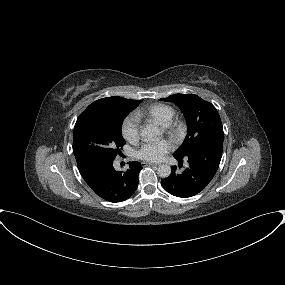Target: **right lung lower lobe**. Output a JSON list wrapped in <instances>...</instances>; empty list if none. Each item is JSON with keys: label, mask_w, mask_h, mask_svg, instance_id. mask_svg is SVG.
<instances>
[{"label": "right lung lower lobe", "mask_w": 285, "mask_h": 285, "mask_svg": "<svg viewBox=\"0 0 285 285\" xmlns=\"http://www.w3.org/2000/svg\"><path fill=\"white\" fill-rule=\"evenodd\" d=\"M79 172L88 186L101 198L109 202L128 199L138 186V175L142 166L129 162L125 171H116L113 160L85 159L77 162Z\"/></svg>", "instance_id": "1"}]
</instances>
